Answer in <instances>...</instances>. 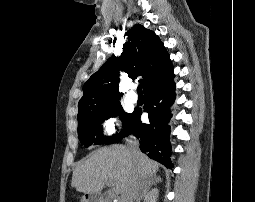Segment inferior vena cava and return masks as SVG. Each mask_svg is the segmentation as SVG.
I'll use <instances>...</instances> for the list:
<instances>
[{
	"label": "inferior vena cava",
	"instance_id": "1",
	"mask_svg": "<svg viewBox=\"0 0 255 202\" xmlns=\"http://www.w3.org/2000/svg\"><path fill=\"white\" fill-rule=\"evenodd\" d=\"M129 149L132 154L136 155L139 152V143L136 140L129 141ZM146 184L138 175H134L127 183L124 191L121 194L120 202H134L144 195Z\"/></svg>",
	"mask_w": 255,
	"mask_h": 202
}]
</instances>
